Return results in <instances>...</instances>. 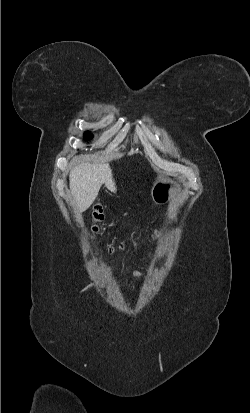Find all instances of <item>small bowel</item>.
Here are the masks:
<instances>
[{
    "instance_id": "obj_1",
    "label": "small bowel",
    "mask_w": 250,
    "mask_h": 413,
    "mask_svg": "<svg viewBox=\"0 0 250 413\" xmlns=\"http://www.w3.org/2000/svg\"><path fill=\"white\" fill-rule=\"evenodd\" d=\"M132 274L135 277H142L143 276V273L138 271V270L133 271Z\"/></svg>"
}]
</instances>
